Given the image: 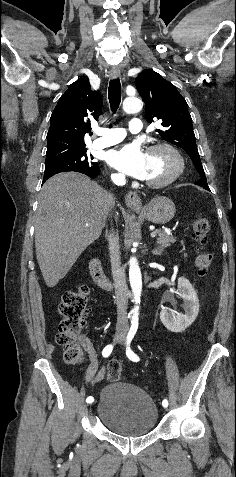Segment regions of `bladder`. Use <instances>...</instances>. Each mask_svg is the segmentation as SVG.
Here are the masks:
<instances>
[{
    "label": "bladder",
    "instance_id": "obj_1",
    "mask_svg": "<svg viewBox=\"0 0 236 477\" xmlns=\"http://www.w3.org/2000/svg\"><path fill=\"white\" fill-rule=\"evenodd\" d=\"M96 415L111 432L139 437L152 432L158 423V409L142 388L125 382L105 385L96 401Z\"/></svg>",
    "mask_w": 236,
    "mask_h": 477
}]
</instances>
